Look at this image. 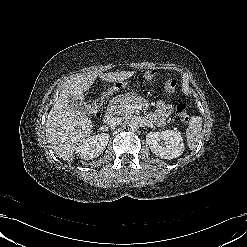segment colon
Returning a JSON list of instances; mask_svg holds the SVG:
<instances>
[{
	"mask_svg": "<svg viewBox=\"0 0 247 247\" xmlns=\"http://www.w3.org/2000/svg\"><path fill=\"white\" fill-rule=\"evenodd\" d=\"M177 85H178V83H177V80L175 78H169V79L165 80L163 88L167 94H172L176 91ZM99 112H100L99 106H95V107H93L91 114L93 116H98ZM175 112H176L177 117L182 122H188L189 113H188V110H187V107L185 104L179 103L176 106Z\"/></svg>",
	"mask_w": 247,
	"mask_h": 247,
	"instance_id": "colon-1",
	"label": "colon"
}]
</instances>
